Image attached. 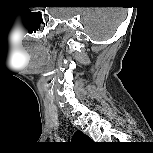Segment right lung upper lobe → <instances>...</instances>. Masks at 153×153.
<instances>
[{
    "label": "right lung upper lobe",
    "mask_w": 153,
    "mask_h": 153,
    "mask_svg": "<svg viewBox=\"0 0 153 153\" xmlns=\"http://www.w3.org/2000/svg\"><path fill=\"white\" fill-rule=\"evenodd\" d=\"M72 140L73 141H81V142H91L92 141L88 136L83 134V132H81V131L75 132Z\"/></svg>",
    "instance_id": "1"
}]
</instances>
